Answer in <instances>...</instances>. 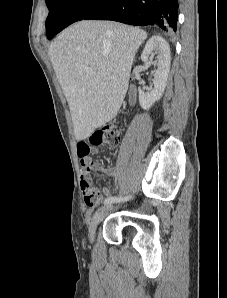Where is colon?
Instances as JSON below:
<instances>
[{
    "label": "colon",
    "mask_w": 227,
    "mask_h": 298,
    "mask_svg": "<svg viewBox=\"0 0 227 298\" xmlns=\"http://www.w3.org/2000/svg\"><path fill=\"white\" fill-rule=\"evenodd\" d=\"M120 142V131L115 125H106L95 131L89 139V146H116ZM78 146V145H77ZM85 201L89 205H95L98 195L84 185Z\"/></svg>",
    "instance_id": "1"
}]
</instances>
